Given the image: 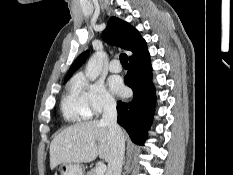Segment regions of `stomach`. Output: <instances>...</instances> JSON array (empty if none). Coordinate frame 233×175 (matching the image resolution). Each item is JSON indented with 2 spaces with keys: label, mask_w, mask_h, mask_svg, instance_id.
<instances>
[{
  "label": "stomach",
  "mask_w": 233,
  "mask_h": 175,
  "mask_svg": "<svg viewBox=\"0 0 233 175\" xmlns=\"http://www.w3.org/2000/svg\"><path fill=\"white\" fill-rule=\"evenodd\" d=\"M60 175H84V168L77 163H63L59 166Z\"/></svg>",
  "instance_id": "0dacf381"
}]
</instances>
